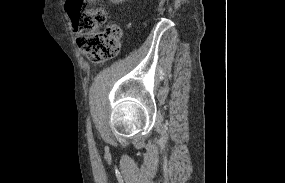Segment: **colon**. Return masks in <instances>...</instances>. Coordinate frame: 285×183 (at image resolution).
Listing matches in <instances>:
<instances>
[{
	"instance_id": "colon-1",
	"label": "colon",
	"mask_w": 285,
	"mask_h": 183,
	"mask_svg": "<svg viewBox=\"0 0 285 183\" xmlns=\"http://www.w3.org/2000/svg\"><path fill=\"white\" fill-rule=\"evenodd\" d=\"M87 2L67 0L65 4L73 30L78 34V47L94 61L112 58L120 51L121 29L115 24L101 29L106 22L105 11L97 7L89 8Z\"/></svg>"
}]
</instances>
